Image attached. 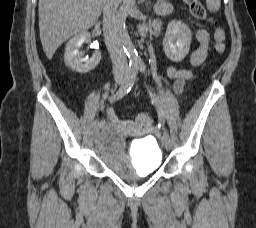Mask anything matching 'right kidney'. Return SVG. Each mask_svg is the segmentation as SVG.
Segmentation results:
<instances>
[{"mask_svg": "<svg viewBox=\"0 0 256 228\" xmlns=\"http://www.w3.org/2000/svg\"><path fill=\"white\" fill-rule=\"evenodd\" d=\"M90 33L83 31L76 34L66 45L64 61L72 70L79 73H87L93 70L101 60V53L96 51L91 58H84L79 51L84 42L90 41Z\"/></svg>", "mask_w": 256, "mask_h": 228, "instance_id": "right-kidney-1", "label": "right kidney"}]
</instances>
